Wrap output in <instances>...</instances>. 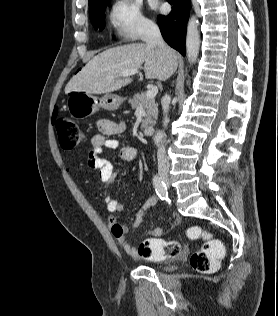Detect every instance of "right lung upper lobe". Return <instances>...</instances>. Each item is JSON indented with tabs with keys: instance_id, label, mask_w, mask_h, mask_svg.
I'll list each match as a JSON object with an SVG mask.
<instances>
[{
	"instance_id": "cb5924a9",
	"label": "right lung upper lobe",
	"mask_w": 278,
	"mask_h": 316,
	"mask_svg": "<svg viewBox=\"0 0 278 316\" xmlns=\"http://www.w3.org/2000/svg\"><path fill=\"white\" fill-rule=\"evenodd\" d=\"M102 1H105V0H89V9H92L94 6H96Z\"/></svg>"
}]
</instances>
